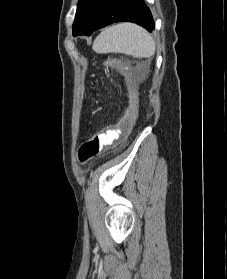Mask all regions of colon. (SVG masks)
<instances>
[{
  "label": "colon",
  "instance_id": "1",
  "mask_svg": "<svg viewBox=\"0 0 227 279\" xmlns=\"http://www.w3.org/2000/svg\"><path fill=\"white\" fill-rule=\"evenodd\" d=\"M114 135L108 130H102L88 138L79 148L78 157L80 162L85 163L98 156L101 151L112 144Z\"/></svg>",
  "mask_w": 227,
  "mask_h": 279
}]
</instances>
